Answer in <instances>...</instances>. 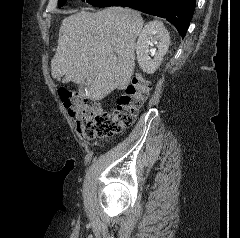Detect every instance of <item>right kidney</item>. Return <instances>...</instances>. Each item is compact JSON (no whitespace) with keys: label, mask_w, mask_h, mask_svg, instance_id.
Segmentation results:
<instances>
[{"label":"right kidney","mask_w":240,"mask_h":238,"mask_svg":"<svg viewBox=\"0 0 240 238\" xmlns=\"http://www.w3.org/2000/svg\"><path fill=\"white\" fill-rule=\"evenodd\" d=\"M152 43H157V52L149 49ZM169 44V32L161 21L147 23L139 34L136 44L137 60L141 69L148 74H153L159 68L163 56L168 51ZM150 53L153 59H151Z\"/></svg>","instance_id":"1"}]
</instances>
